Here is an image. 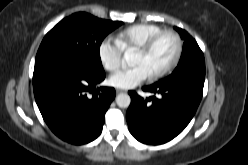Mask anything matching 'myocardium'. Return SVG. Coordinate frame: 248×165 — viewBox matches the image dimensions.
I'll list each match as a JSON object with an SVG mask.
<instances>
[{
    "label": "myocardium",
    "mask_w": 248,
    "mask_h": 165,
    "mask_svg": "<svg viewBox=\"0 0 248 165\" xmlns=\"http://www.w3.org/2000/svg\"><path fill=\"white\" fill-rule=\"evenodd\" d=\"M165 36H171L175 41V50L170 60L157 72L151 75V80H157L166 75L177 63L182 53L183 42L179 34L173 30H163L152 37H150L141 47L137 49V52L146 54L150 52L153 47Z\"/></svg>",
    "instance_id": "1"
}]
</instances>
